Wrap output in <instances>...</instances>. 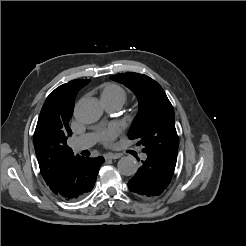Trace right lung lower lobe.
<instances>
[{
    "label": "right lung lower lobe",
    "mask_w": 246,
    "mask_h": 246,
    "mask_svg": "<svg viewBox=\"0 0 246 246\" xmlns=\"http://www.w3.org/2000/svg\"><path fill=\"white\" fill-rule=\"evenodd\" d=\"M103 157H77L71 161L59 174L50 187L61 199L73 201L82 198L90 192L95 184Z\"/></svg>",
    "instance_id": "1"
}]
</instances>
